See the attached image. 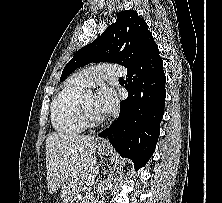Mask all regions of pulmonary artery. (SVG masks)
Listing matches in <instances>:
<instances>
[{
  "mask_svg": "<svg viewBox=\"0 0 222 203\" xmlns=\"http://www.w3.org/2000/svg\"><path fill=\"white\" fill-rule=\"evenodd\" d=\"M126 69L117 64H99L85 68L73 75V79L81 86L87 88L95 86L110 76L123 77Z\"/></svg>",
  "mask_w": 222,
  "mask_h": 203,
  "instance_id": "pulmonary-artery-1",
  "label": "pulmonary artery"
}]
</instances>
